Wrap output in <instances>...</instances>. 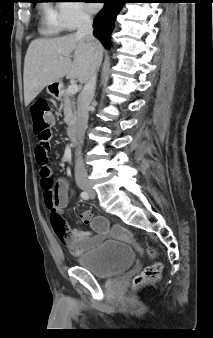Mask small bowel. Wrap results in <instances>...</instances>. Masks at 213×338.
Listing matches in <instances>:
<instances>
[{"label": "small bowel", "instance_id": "obj_1", "mask_svg": "<svg viewBox=\"0 0 213 338\" xmlns=\"http://www.w3.org/2000/svg\"><path fill=\"white\" fill-rule=\"evenodd\" d=\"M50 152V140L47 139L46 141H39V144L36 147V159L38 158H47ZM55 197L57 201V212L62 214L63 210L68 205V183L66 179H60L57 182L56 189H55ZM80 220L88 224L92 220V212L89 210H84L80 213ZM102 224L101 227L95 228L96 234L93 235L90 232L82 229L76 228L71 230L67 227L65 222L62 224L60 228H54L55 232L59 238V240L66 244L71 251L74 253H80L84 251L91 250L95 247L100 241L104 240L106 237V219L103 216L97 217ZM118 236L122 238H130V233L125 228H118L117 229Z\"/></svg>", "mask_w": 213, "mask_h": 338}]
</instances>
